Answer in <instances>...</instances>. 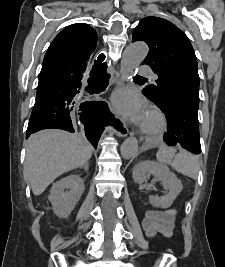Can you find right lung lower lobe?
I'll use <instances>...</instances> for the list:
<instances>
[{
    "label": "right lung lower lobe",
    "mask_w": 225,
    "mask_h": 267,
    "mask_svg": "<svg viewBox=\"0 0 225 267\" xmlns=\"http://www.w3.org/2000/svg\"><path fill=\"white\" fill-rule=\"evenodd\" d=\"M86 51L73 49H48L38 76L36 103L29 120L26 138L43 129L57 128L74 132L71 112L85 76L88 92L98 93L107 87L106 65L89 60ZM112 115L102 103L91 105V116L85 122L88 140L97 146L103 126Z\"/></svg>",
    "instance_id": "1"
}]
</instances>
